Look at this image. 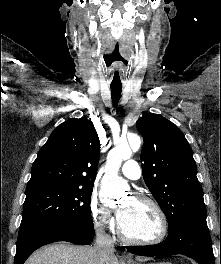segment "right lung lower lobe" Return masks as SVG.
Masks as SVG:
<instances>
[{
	"instance_id": "1",
	"label": "right lung lower lobe",
	"mask_w": 221,
	"mask_h": 264,
	"mask_svg": "<svg viewBox=\"0 0 221 264\" xmlns=\"http://www.w3.org/2000/svg\"><path fill=\"white\" fill-rule=\"evenodd\" d=\"M94 237V226H30L20 229L14 264H23L38 248L57 241L89 245Z\"/></svg>"
}]
</instances>
